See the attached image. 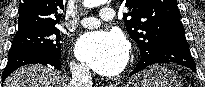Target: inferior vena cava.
Segmentation results:
<instances>
[{
  "instance_id": "1",
  "label": "inferior vena cava",
  "mask_w": 205,
  "mask_h": 87,
  "mask_svg": "<svg viewBox=\"0 0 205 87\" xmlns=\"http://www.w3.org/2000/svg\"><path fill=\"white\" fill-rule=\"evenodd\" d=\"M72 80L70 87H92L93 79L86 65H74L71 67Z\"/></svg>"
}]
</instances>
